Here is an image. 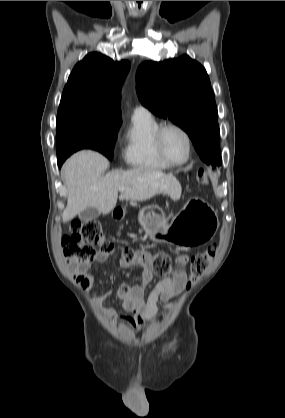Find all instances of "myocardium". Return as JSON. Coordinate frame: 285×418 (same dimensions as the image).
I'll return each instance as SVG.
<instances>
[{"label": "myocardium", "instance_id": "myocardium-1", "mask_svg": "<svg viewBox=\"0 0 285 418\" xmlns=\"http://www.w3.org/2000/svg\"><path fill=\"white\" fill-rule=\"evenodd\" d=\"M169 129H175V130L179 131L184 136V138L187 142V154H186L185 159L181 162L171 161L169 159V157L167 156L165 150H164L162 139H163L164 133ZM153 142H154L155 148H156L159 156L169 166H181V165L186 164L190 160V157H191V154H192V139H191V136H190L189 132L184 127H182L181 125H179L177 123L168 122V123L161 124L158 127V129L156 130L155 134H154Z\"/></svg>", "mask_w": 285, "mask_h": 418}]
</instances>
